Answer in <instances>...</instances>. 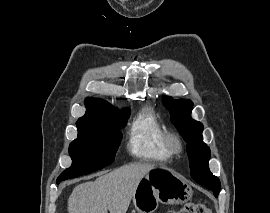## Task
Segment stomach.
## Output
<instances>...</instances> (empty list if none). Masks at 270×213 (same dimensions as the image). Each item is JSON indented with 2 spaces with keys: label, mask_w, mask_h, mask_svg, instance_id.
Returning <instances> with one entry per match:
<instances>
[{
  "label": "stomach",
  "mask_w": 270,
  "mask_h": 213,
  "mask_svg": "<svg viewBox=\"0 0 270 213\" xmlns=\"http://www.w3.org/2000/svg\"><path fill=\"white\" fill-rule=\"evenodd\" d=\"M192 195L185 178L172 170L156 168L140 180L132 200L137 213H154L159 203L183 204Z\"/></svg>",
  "instance_id": "obj_1"
}]
</instances>
